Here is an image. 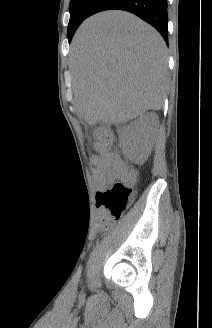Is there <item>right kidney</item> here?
I'll return each instance as SVG.
<instances>
[{
    "label": "right kidney",
    "instance_id": "1",
    "mask_svg": "<svg viewBox=\"0 0 212 328\" xmlns=\"http://www.w3.org/2000/svg\"><path fill=\"white\" fill-rule=\"evenodd\" d=\"M158 124L157 114L150 112L141 115L126 128L130 133V146L133 155L138 154L146 146L150 136L156 133Z\"/></svg>",
    "mask_w": 212,
    "mask_h": 328
}]
</instances>
